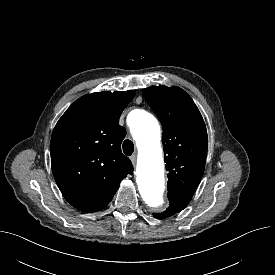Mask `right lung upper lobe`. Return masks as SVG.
I'll list each match as a JSON object with an SVG mask.
<instances>
[{"mask_svg":"<svg viewBox=\"0 0 275 275\" xmlns=\"http://www.w3.org/2000/svg\"><path fill=\"white\" fill-rule=\"evenodd\" d=\"M134 92H98L75 101L57 122L51 137V166L64 198L82 212L104 208L121 181L133 174L121 153L126 135L119 117Z\"/></svg>","mask_w":275,"mask_h":275,"instance_id":"1","label":"right lung upper lobe"}]
</instances>
